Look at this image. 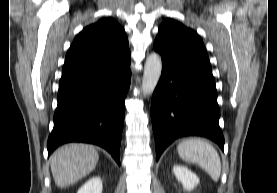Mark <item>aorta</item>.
<instances>
[{"mask_svg": "<svg viewBox=\"0 0 277 193\" xmlns=\"http://www.w3.org/2000/svg\"><path fill=\"white\" fill-rule=\"evenodd\" d=\"M162 60L157 53H151L144 66L141 91L144 96L151 95L161 76Z\"/></svg>", "mask_w": 277, "mask_h": 193, "instance_id": "aorta-1", "label": "aorta"}]
</instances>
